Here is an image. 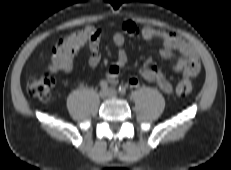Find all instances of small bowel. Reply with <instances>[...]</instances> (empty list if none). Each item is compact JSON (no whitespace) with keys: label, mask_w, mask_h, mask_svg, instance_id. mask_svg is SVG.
I'll use <instances>...</instances> for the list:
<instances>
[{"label":"small bowel","mask_w":231,"mask_h":170,"mask_svg":"<svg viewBox=\"0 0 231 170\" xmlns=\"http://www.w3.org/2000/svg\"><path fill=\"white\" fill-rule=\"evenodd\" d=\"M99 36L85 45L86 50L89 52L88 63L93 68L96 67L101 60ZM126 36H140L146 41H161L160 54L165 59H171L178 53L180 56L173 66V70L175 72H181L186 79L195 77L200 71L201 64L195 48L180 36L153 27L140 28L137 24L128 21L120 25L119 30L113 35V43L117 48V57L113 65L106 72V79L111 84L118 82L121 69L125 67L128 62V55L124 48ZM140 75L146 81L155 83L165 93H173L174 89L172 84L153 64L151 59H148L144 63L140 69ZM129 84L136 87L139 81L136 77H130Z\"/></svg>","instance_id":"small-bowel-1"}]
</instances>
